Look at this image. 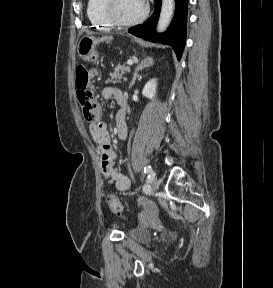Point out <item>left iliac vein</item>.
Listing matches in <instances>:
<instances>
[{
  "mask_svg": "<svg viewBox=\"0 0 273 288\" xmlns=\"http://www.w3.org/2000/svg\"><path fill=\"white\" fill-rule=\"evenodd\" d=\"M158 188V179L156 176H154V178L151 180V183H150V190L152 192H155Z\"/></svg>",
  "mask_w": 273,
  "mask_h": 288,
  "instance_id": "4c4485c4",
  "label": "left iliac vein"
}]
</instances>
